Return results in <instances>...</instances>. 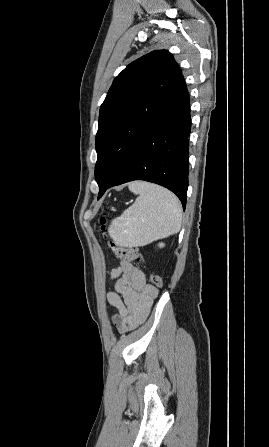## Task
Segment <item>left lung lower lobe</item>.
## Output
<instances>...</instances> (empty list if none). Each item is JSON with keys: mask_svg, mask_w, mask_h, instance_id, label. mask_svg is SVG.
<instances>
[{"mask_svg": "<svg viewBox=\"0 0 269 447\" xmlns=\"http://www.w3.org/2000/svg\"><path fill=\"white\" fill-rule=\"evenodd\" d=\"M189 94L179 78L165 114L145 133L121 173L109 185L99 187L98 198L111 186L145 180L174 192L185 209L191 131Z\"/></svg>", "mask_w": 269, "mask_h": 447, "instance_id": "obj_1", "label": "left lung lower lobe"}]
</instances>
